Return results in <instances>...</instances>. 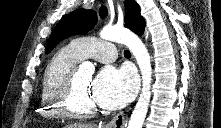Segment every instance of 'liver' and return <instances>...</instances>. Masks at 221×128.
Wrapping results in <instances>:
<instances>
[{"label":"liver","instance_id":"6515ba94","mask_svg":"<svg viewBox=\"0 0 221 128\" xmlns=\"http://www.w3.org/2000/svg\"><path fill=\"white\" fill-rule=\"evenodd\" d=\"M65 128H94V126L89 125V124L74 123V124L65 126Z\"/></svg>","mask_w":221,"mask_h":128}]
</instances>
